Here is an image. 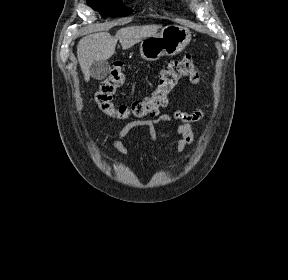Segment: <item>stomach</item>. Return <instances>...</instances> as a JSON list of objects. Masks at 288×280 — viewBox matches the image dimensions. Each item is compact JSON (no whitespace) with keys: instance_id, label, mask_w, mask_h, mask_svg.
Listing matches in <instances>:
<instances>
[{"instance_id":"0dacf381","label":"stomach","mask_w":288,"mask_h":280,"mask_svg":"<svg viewBox=\"0 0 288 280\" xmlns=\"http://www.w3.org/2000/svg\"><path fill=\"white\" fill-rule=\"evenodd\" d=\"M191 41L188 28L169 25L154 36L142 39L140 55L144 60L156 61L162 56H173L180 53Z\"/></svg>"}]
</instances>
